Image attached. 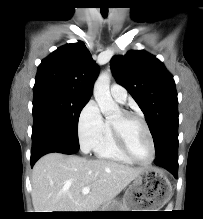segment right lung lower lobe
I'll use <instances>...</instances> for the list:
<instances>
[{"label":"right lung lower lobe","instance_id":"right-lung-lower-lobe-1","mask_svg":"<svg viewBox=\"0 0 203 219\" xmlns=\"http://www.w3.org/2000/svg\"><path fill=\"white\" fill-rule=\"evenodd\" d=\"M57 144L49 139H40L32 142V151H31V167L35 162L44 154L49 152H56ZM74 154V153H73Z\"/></svg>","mask_w":203,"mask_h":219}]
</instances>
